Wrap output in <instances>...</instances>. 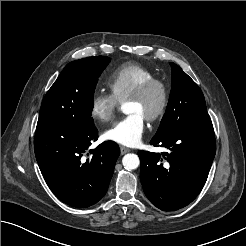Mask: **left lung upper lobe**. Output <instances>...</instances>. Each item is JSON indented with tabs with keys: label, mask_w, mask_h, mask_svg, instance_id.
I'll use <instances>...</instances> for the list:
<instances>
[{
	"label": "left lung upper lobe",
	"mask_w": 246,
	"mask_h": 246,
	"mask_svg": "<svg viewBox=\"0 0 246 246\" xmlns=\"http://www.w3.org/2000/svg\"><path fill=\"white\" fill-rule=\"evenodd\" d=\"M172 88L166 112L157 133L159 138L176 126L210 120L200 87L176 64L171 63Z\"/></svg>",
	"instance_id": "1"
}]
</instances>
